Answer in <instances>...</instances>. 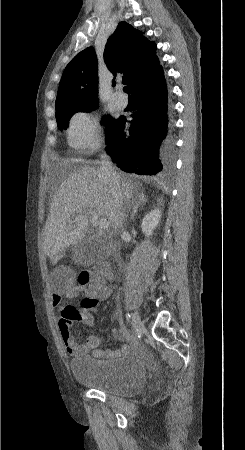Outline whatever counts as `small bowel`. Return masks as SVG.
Wrapping results in <instances>:
<instances>
[{
  "label": "small bowel",
  "mask_w": 245,
  "mask_h": 450,
  "mask_svg": "<svg viewBox=\"0 0 245 450\" xmlns=\"http://www.w3.org/2000/svg\"><path fill=\"white\" fill-rule=\"evenodd\" d=\"M101 276H96V279H101ZM76 288H71L70 292L66 295L67 298H72L76 295ZM93 300H103L110 296L112 292V287L108 286L106 284L99 285L95 284L93 287ZM63 299V296L60 294H52L50 297V305L53 307L58 306ZM81 318L80 320L87 324L88 326L93 327L95 325L94 317L92 315L91 309L90 310H83L79 309ZM117 316H119V313H117ZM59 331L60 336L62 339V342L66 348V351L72 355V356H78L82 354H87L89 352H92L95 356H99L102 354H112V355H121L125 352H127L131 347H136L137 341L134 338L128 337L129 344L124 345L120 348L112 349V350H99L98 346L100 344V338L98 336H90L87 339H85L82 343H77L70 332V325H68L66 322H63L60 320L59 322ZM115 331V330H113Z\"/></svg>",
  "instance_id": "obj_1"
}]
</instances>
